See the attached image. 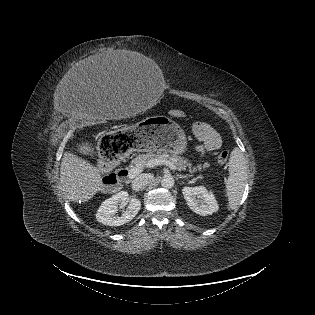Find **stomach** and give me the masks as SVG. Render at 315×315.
Returning <instances> with one entry per match:
<instances>
[{
	"instance_id": "1",
	"label": "stomach",
	"mask_w": 315,
	"mask_h": 315,
	"mask_svg": "<svg viewBox=\"0 0 315 315\" xmlns=\"http://www.w3.org/2000/svg\"><path fill=\"white\" fill-rule=\"evenodd\" d=\"M186 148L184 130L166 116L147 117L121 132H107L99 140V153L107 161H114L133 151L181 154Z\"/></svg>"
}]
</instances>
